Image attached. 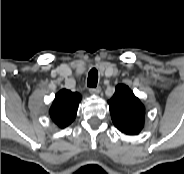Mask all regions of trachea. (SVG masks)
<instances>
[{
	"instance_id": "1",
	"label": "trachea",
	"mask_w": 184,
	"mask_h": 174,
	"mask_svg": "<svg viewBox=\"0 0 184 174\" xmlns=\"http://www.w3.org/2000/svg\"><path fill=\"white\" fill-rule=\"evenodd\" d=\"M98 82V71L93 68L90 70L87 78V86L91 88H95Z\"/></svg>"
}]
</instances>
